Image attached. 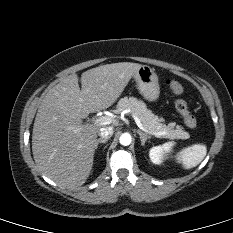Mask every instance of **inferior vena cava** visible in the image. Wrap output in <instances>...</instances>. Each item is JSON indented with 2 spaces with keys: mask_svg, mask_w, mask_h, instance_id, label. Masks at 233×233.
Returning <instances> with one entry per match:
<instances>
[{
  "mask_svg": "<svg viewBox=\"0 0 233 233\" xmlns=\"http://www.w3.org/2000/svg\"><path fill=\"white\" fill-rule=\"evenodd\" d=\"M98 135L104 139L110 138L113 135V127L109 126L100 128L98 131Z\"/></svg>",
  "mask_w": 233,
  "mask_h": 233,
  "instance_id": "602c4592",
  "label": "inferior vena cava"
}]
</instances>
